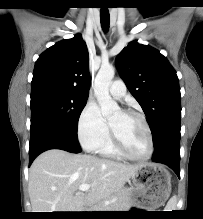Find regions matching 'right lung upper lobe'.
Instances as JSON below:
<instances>
[{
  "mask_svg": "<svg viewBox=\"0 0 203 219\" xmlns=\"http://www.w3.org/2000/svg\"><path fill=\"white\" fill-rule=\"evenodd\" d=\"M89 54L80 34L62 40L44 53L35 63L31 86L55 85L88 96Z\"/></svg>",
  "mask_w": 203,
  "mask_h": 219,
  "instance_id": "right-lung-upper-lobe-1",
  "label": "right lung upper lobe"
}]
</instances>
